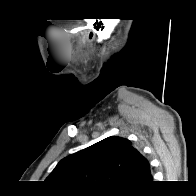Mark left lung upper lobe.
<instances>
[{
  "instance_id": "left-lung-upper-lobe-1",
  "label": "left lung upper lobe",
  "mask_w": 196,
  "mask_h": 196,
  "mask_svg": "<svg viewBox=\"0 0 196 196\" xmlns=\"http://www.w3.org/2000/svg\"><path fill=\"white\" fill-rule=\"evenodd\" d=\"M149 161L125 138L111 136L62 159L47 180L58 188L125 193L139 189Z\"/></svg>"
}]
</instances>
